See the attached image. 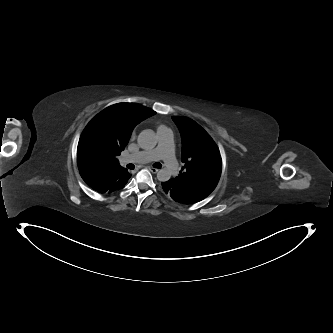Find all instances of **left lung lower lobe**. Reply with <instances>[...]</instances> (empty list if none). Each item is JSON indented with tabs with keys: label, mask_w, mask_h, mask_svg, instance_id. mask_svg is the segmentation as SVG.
Returning <instances> with one entry per match:
<instances>
[{
	"label": "left lung lower lobe",
	"mask_w": 333,
	"mask_h": 333,
	"mask_svg": "<svg viewBox=\"0 0 333 333\" xmlns=\"http://www.w3.org/2000/svg\"><path fill=\"white\" fill-rule=\"evenodd\" d=\"M161 190L169 198L181 204H193L199 202L198 200L191 197L188 193L183 191L180 187L174 186L171 179L162 182Z\"/></svg>",
	"instance_id": "left-lung-lower-lobe-1"
}]
</instances>
